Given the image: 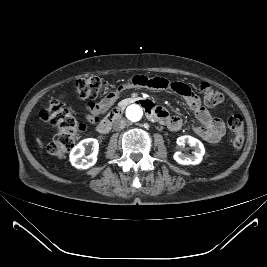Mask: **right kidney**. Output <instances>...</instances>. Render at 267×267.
Wrapping results in <instances>:
<instances>
[{
  "label": "right kidney",
  "instance_id": "1",
  "mask_svg": "<svg viewBox=\"0 0 267 267\" xmlns=\"http://www.w3.org/2000/svg\"><path fill=\"white\" fill-rule=\"evenodd\" d=\"M87 147H91L92 153L85 158V150ZM99 150V144L97 139L87 138L80 141L70 153L71 164L78 169H88L92 167L97 161V154Z\"/></svg>",
  "mask_w": 267,
  "mask_h": 267
}]
</instances>
